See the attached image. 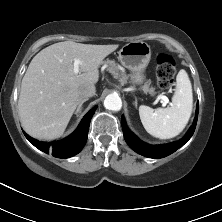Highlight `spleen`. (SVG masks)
Masks as SVG:
<instances>
[{
	"mask_svg": "<svg viewBox=\"0 0 222 222\" xmlns=\"http://www.w3.org/2000/svg\"><path fill=\"white\" fill-rule=\"evenodd\" d=\"M193 106L192 86L185 70L176 77V90L170 107L152 109L141 105L139 115L145 130L154 137L170 139L186 127Z\"/></svg>",
	"mask_w": 222,
	"mask_h": 222,
	"instance_id": "obj_1",
	"label": "spleen"
}]
</instances>
